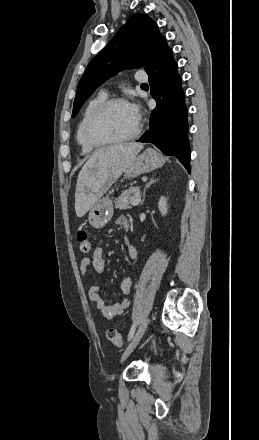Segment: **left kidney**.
<instances>
[{"mask_svg": "<svg viewBox=\"0 0 259 440\" xmlns=\"http://www.w3.org/2000/svg\"><path fill=\"white\" fill-rule=\"evenodd\" d=\"M158 208L163 216L167 214V199L164 196L159 199Z\"/></svg>", "mask_w": 259, "mask_h": 440, "instance_id": "5707ae66", "label": "left kidney"}]
</instances>
